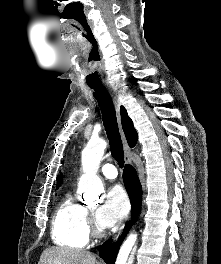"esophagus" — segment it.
Here are the masks:
<instances>
[{
	"label": "esophagus",
	"mask_w": 221,
	"mask_h": 264,
	"mask_svg": "<svg viewBox=\"0 0 221 264\" xmlns=\"http://www.w3.org/2000/svg\"><path fill=\"white\" fill-rule=\"evenodd\" d=\"M106 90L108 91L109 95L112 98V101L114 103V106H115V109H116V112H117L118 122L120 124V105L121 104H120L118 95H117L116 91L111 87V85L107 84L106 85ZM122 138H123V142H124L125 161H126L127 164H131L130 148H129V146H128L125 138H124L123 133H122ZM123 228H124V225L119 229L117 234L114 236V239H113L114 242L117 241V239L121 235Z\"/></svg>",
	"instance_id": "34e87169"
}]
</instances>
